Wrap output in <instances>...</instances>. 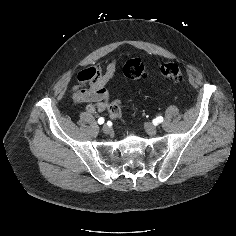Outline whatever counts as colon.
Instances as JSON below:
<instances>
[{
  "label": "colon",
  "instance_id": "obj_1",
  "mask_svg": "<svg viewBox=\"0 0 236 236\" xmlns=\"http://www.w3.org/2000/svg\"><path fill=\"white\" fill-rule=\"evenodd\" d=\"M160 72L162 76L174 83H180L183 80L181 69L174 63H164ZM124 75L129 79H140L145 74V67L138 59L129 60L124 68ZM108 115L111 119H118L121 115V104L119 101H113L108 106Z\"/></svg>",
  "mask_w": 236,
  "mask_h": 236
}]
</instances>
